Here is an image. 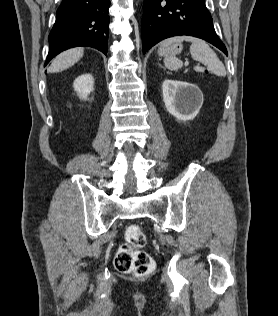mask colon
Instances as JSON below:
<instances>
[{
    "label": "colon",
    "instance_id": "colon-1",
    "mask_svg": "<svg viewBox=\"0 0 278 316\" xmlns=\"http://www.w3.org/2000/svg\"><path fill=\"white\" fill-rule=\"evenodd\" d=\"M146 243V235L141 226L129 225L125 230V243L121 245L115 256V268L126 274L145 276L155 268L153 258L142 248Z\"/></svg>",
    "mask_w": 278,
    "mask_h": 316
}]
</instances>
